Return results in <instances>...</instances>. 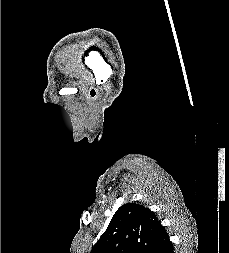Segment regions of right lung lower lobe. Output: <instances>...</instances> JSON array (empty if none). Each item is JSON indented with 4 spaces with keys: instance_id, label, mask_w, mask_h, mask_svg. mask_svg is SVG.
<instances>
[{
    "instance_id": "right-lung-lower-lobe-1",
    "label": "right lung lower lobe",
    "mask_w": 229,
    "mask_h": 253,
    "mask_svg": "<svg viewBox=\"0 0 229 253\" xmlns=\"http://www.w3.org/2000/svg\"><path fill=\"white\" fill-rule=\"evenodd\" d=\"M159 253H174L172 242L166 245Z\"/></svg>"
}]
</instances>
